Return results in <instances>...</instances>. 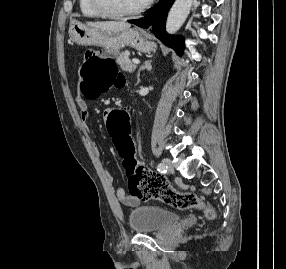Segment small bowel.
I'll use <instances>...</instances> for the list:
<instances>
[{
  "mask_svg": "<svg viewBox=\"0 0 286 269\" xmlns=\"http://www.w3.org/2000/svg\"><path fill=\"white\" fill-rule=\"evenodd\" d=\"M121 86H123V82H122ZM78 106H79V110H80L81 121L83 123H87V121L90 118V113L88 110L87 103L82 98H79L78 99ZM109 109H111V108H105V111H100L99 123H106L107 122V116H109ZM94 148H95V153L99 157L100 156L99 149L96 146H94ZM105 177H106V180L109 184L113 183L114 178L110 172L106 171ZM115 194H116L117 199L121 203H123L127 206H137L140 203V198L134 197L132 195H128L123 188H117L115 191Z\"/></svg>",
  "mask_w": 286,
  "mask_h": 269,
  "instance_id": "obj_1",
  "label": "small bowel"
}]
</instances>
